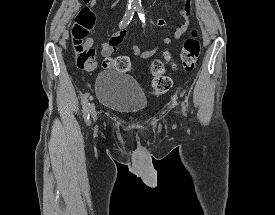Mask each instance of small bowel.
Wrapping results in <instances>:
<instances>
[{"instance_id": "1", "label": "small bowel", "mask_w": 275, "mask_h": 215, "mask_svg": "<svg viewBox=\"0 0 275 215\" xmlns=\"http://www.w3.org/2000/svg\"><path fill=\"white\" fill-rule=\"evenodd\" d=\"M183 5L180 9V15L183 19V22L177 26L174 29V32L172 36L165 37L162 41L163 44H170L173 40H178L182 37V35L187 31L189 27V18L191 16V0H183ZM89 6L91 8H96L98 6V0H90ZM157 25L160 27H166L167 26V21L164 19H158L157 20ZM125 28V27H124ZM126 36V31L125 29L121 28L119 31L114 33L108 42L103 43L101 45V55L102 56H109L111 55L116 47L123 41V39ZM88 45L92 46L93 45V39L88 38L87 39ZM155 49L153 50H146L142 51L141 48L137 45H134L132 47V52L135 56L141 58V59H148L150 58L154 53ZM97 62L96 61H91L87 66H85V70L91 71L94 70L97 67Z\"/></svg>"}]
</instances>
